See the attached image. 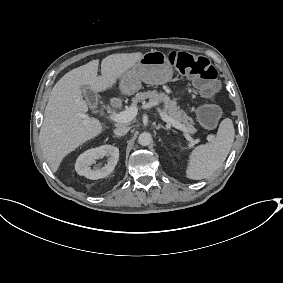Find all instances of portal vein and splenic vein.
<instances>
[{"label": "portal vein and splenic vein", "instance_id": "1", "mask_svg": "<svg viewBox=\"0 0 283 283\" xmlns=\"http://www.w3.org/2000/svg\"><path fill=\"white\" fill-rule=\"evenodd\" d=\"M137 112H138V108L135 105H132L120 113H113L111 115V119L118 123H127V122L132 121L136 117ZM160 116L163 119V121L167 122L168 126L173 125L176 129H179L184 133L189 132L187 127L184 124H181L178 121H175L174 119L166 115L165 112H160ZM213 139L214 138L212 135L207 136L208 141H212ZM196 142L199 143L200 140L197 139Z\"/></svg>", "mask_w": 283, "mask_h": 283}]
</instances>
